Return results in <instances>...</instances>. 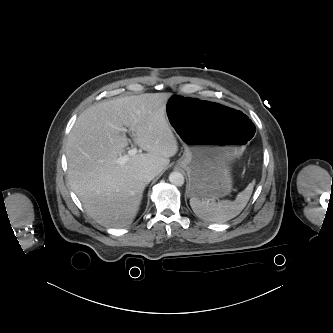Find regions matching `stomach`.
Here are the masks:
<instances>
[{"label": "stomach", "mask_w": 333, "mask_h": 333, "mask_svg": "<svg viewBox=\"0 0 333 333\" xmlns=\"http://www.w3.org/2000/svg\"><path fill=\"white\" fill-rule=\"evenodd\" d=\"M166 118L190 157L188 194L198 199L222 198L233 186L229 162L255 133L238 108L219 101L171 94Z\"/></svg>", "instance_id": "0dacf381"}]
</instances>
